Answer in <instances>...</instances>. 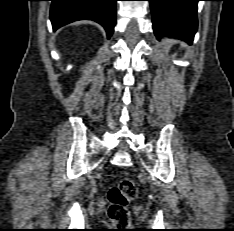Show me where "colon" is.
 <instances>
[{
	"mask_svg": "<svg viewBox=\"0 0 234 231\" xmlns=\"http://www.w3.org/2000/svg\"><path fill=\"white\" fill-rule=\"evenodd\" d=\"M138 191L134 181L129 177L122 178L107 193V214L109 219L120 228L126 230L130 225L128 206L137 197Z\"/></svg>",
	"mask_w": 234,
	"mask_h": 231,
	"instance_id": "obj_1",
	"label": "colon"
}]
</instances>
